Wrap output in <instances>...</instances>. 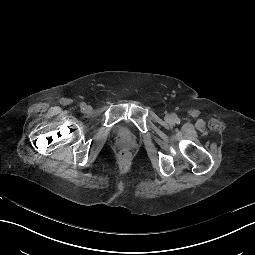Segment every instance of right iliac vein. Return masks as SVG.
I'll list each match as a JSON object with an SVG mask.
<instances>
[{
    "instance_id": "63e3f726",
    "label": "right iliac vein",
    "mask_w": 255,
    "mask_h": 255,
    "mask_svg": "<svg viewBox=\"0 0 255 255\" xmlns=\"http://www.w3.org/2000/svg\"><path fill=\"white\" fill-rule=\"evenodd\" d=\"M84 111H85L86 113H89V112L91 111V107H90V106H86L85 109H84Z\"/></svg>"
}]
</instances>
